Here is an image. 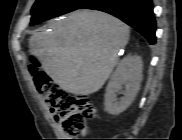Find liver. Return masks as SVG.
Masks as SVG:
<instances>
[{"label": "liver", "mask_w": 182, "mask_h": 140, "mask_svg": "<svg viewBox=\"0 0 182 140\" xmlns=\"http://www.w3.org/2000/svg\"><path fill=\"white\" fill-rule=\"evenodd\" d=\"M35 32L29 52L53 82L66 92L90 95L100 90L129 40V27L104 12L76 10Z\"/></svg>", "instance_id": "6515ba94"}]
</instances>
